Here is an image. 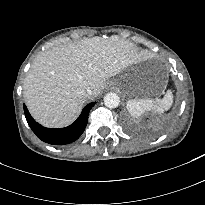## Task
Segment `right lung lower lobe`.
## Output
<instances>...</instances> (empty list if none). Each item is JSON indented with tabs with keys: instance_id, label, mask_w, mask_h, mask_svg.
Returning a JSON list of instances; mask_svg holds the SVG:
<instances>
[{
	"instance_id": "right-lung-lower-lobe-1",
	"label": "right lung lower lobe",
	"mask_w": 205,
	"mask_h": 205,
	"mask_svg": "<svg viewBox=\"0 0 205 205\" xmlns=\"http://www.w3.org/2000/svg\"><path fill=\"white\" fill-rule=\"evenodd\" d=\"M95 104L96 102L88 104L73 124L61 129H49L41 126L31 117L26 106H23L26 120L39 139L53 145H64L74 142L81 136L88 121L89 111Z\"/></svg>"
}]
</instances>
